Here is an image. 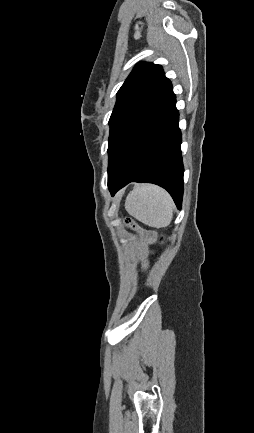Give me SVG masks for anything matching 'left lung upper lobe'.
<instances>
[{"mask_svg":"<svg viewBox=\"0 0 254 433\" xmlns=\"http://www.w3.org/2000/svg\"><path fill=\"white\" fill-rule=\"evenodd\" d=\"M172 89L160 65L140 62L117 93L111 114L108 179L122 162L132 140Z\"/></svg>","mask_w":254,"mask_h":433,"instance_id":"1","label":"left lung upper lobe"}]
</instances>
